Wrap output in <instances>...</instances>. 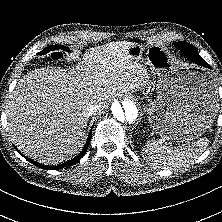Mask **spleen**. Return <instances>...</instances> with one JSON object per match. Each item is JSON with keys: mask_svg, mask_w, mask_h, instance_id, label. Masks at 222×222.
Returning <instances> with one entry per match:
<instances>
[{"mask_svg": "<svg viewBox=\"0 0 222 222\" xmlns=\"http://www.w3.org/2000/svg\"><path fill=\"white\" fill-rule=\"evenodd\" d=\"M163 140H151L142 149L147 163L163 168L182 167L193 163L207 148L208 139L201 138L193 143L169 146Z\"/></svg>", "mask_w": 222, "mask_h": 222, "instance_id": "obj_1", "label": "spleen"}]
</instances>
